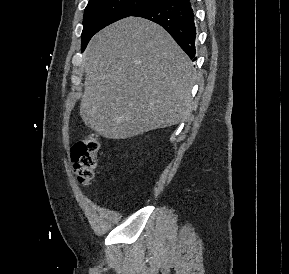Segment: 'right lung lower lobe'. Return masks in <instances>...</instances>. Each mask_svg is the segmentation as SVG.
I'll list each match as a JSON object with an SVG mask.
<instances>
[{"label":"right lung lower lobe","instance_id":"obj_1","mask_svg":"<svg viewBox=\"0 0 289 274\" xmlns=\"http://www.w3.org/2000/svg\"><path fill=\"white\" fill-rule=\"evenodd\" d=\"M132 16L161 25L191 59L195 57L196 28L190 0H161Z\"/></svg>","mask_w":289,"mask_h":274}]
</instances>
